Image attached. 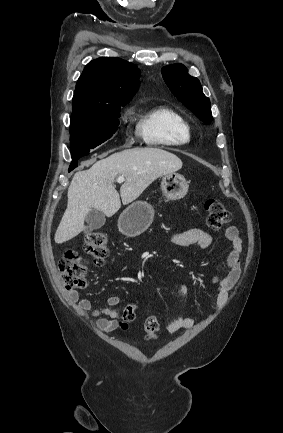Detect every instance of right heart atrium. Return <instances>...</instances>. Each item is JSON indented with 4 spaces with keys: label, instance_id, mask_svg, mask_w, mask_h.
Instances as JSON below:
<instances>
[{
    "label": "right heart atrium",
    "instance_id": "right-heart-atrium-1",
    "mask_svg": "<svg viewBox=\"0 0 283 433\" xmlns=\"http://www.w3.org/2000/svg\"><path fill=\"white\" fill-rule=\"evenodd\" d=\"M115 128L117 131H119L121 129V122H117L115 125ZM131 144H132V140L129 138H126L124 146H129Z\"/></svg>",
    "mask_w": 283,
    "mask_h": 433
}]
</instances>
